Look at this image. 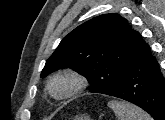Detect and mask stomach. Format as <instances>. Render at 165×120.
Wrapping results in <instances>:
<instances>
[{
	"mask_svg": "<svg viewBox=\"0 0 165 120\" xmlns=\"http://www.w3.org/2000/svg\"><path fill=\"white\" fill-rule=\"evenodd\" d=\"M74 120H90V117L86 115H79L76 116Z\"/></svg>",
	"mask_w": 165,
	"mask_h": 120,
	"instance_id": "0dacf381",
	"label": "stomach"
}]
</instances>
